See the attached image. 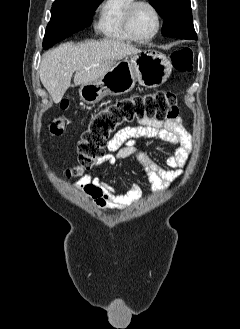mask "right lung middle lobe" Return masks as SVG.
<instances>
[{
    "instance_id": "obj_1",
    "label": "right lung middle lobe",
    "mask_w": 240,
    "mask_h": 329,
    "mask_svg": "<svg viewBox=\"0 0 240 329\" xmlns=\"http://www.w3.org/2000/svg\"><path fill=\"white\" fill-rule=\"evenodd\" d=\"M103 0H66L54 2L51 20L47 25L43 47L55 43L89 26L93 20L97 4Z\"/></svg>"
}]
</instances>
